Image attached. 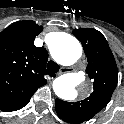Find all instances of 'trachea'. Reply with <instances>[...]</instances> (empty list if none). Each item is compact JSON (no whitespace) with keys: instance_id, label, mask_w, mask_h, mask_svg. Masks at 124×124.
<instances>
[{"instance_id":"3493384b","label":"trachea","mask_w":124,"mask_h":124,"mask_svg":"<svg viewBox=\"0 0 124 124\" xmlns=\"http://www.w3.org/2000/svg\"><path fill=\"white\" fill-rule=\"evenodd\" d=\"M47 69L51 72H58L59 71V66L54 61H49L48 64H47Z\"/></svg>"}]
</instances>
